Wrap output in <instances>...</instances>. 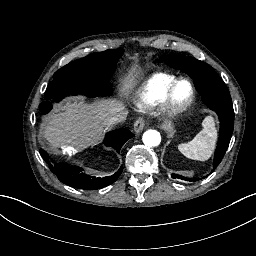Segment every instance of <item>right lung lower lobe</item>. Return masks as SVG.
<instances>
[{
  "label": "right lung lower lobe",
  "instance_id": "right-lung-lower-lobe-1",
  "mask_svg": "<svg viewBox=\"0 0 256 256\" xmlns=\"http://www.w3.org/2000/svg\"><path fill=\"white\" fill-rule=\"evenodd\" d=\"M133 136L134 134L128 129H117L107 133L104 143L107 146H112L119 153L124 143ZM40 154L49 164L50 170L57 175L61 182L78 189L95 190L108 186L117 180L123 170V167L121 166L120 169L111 176L96 178L82 173V168L70 166L66 163H56L50 160L48 153L43 149H40Z\"/></svg>",
  "mask_w": 256,
  "mask_h": 256
}]
</instances>
